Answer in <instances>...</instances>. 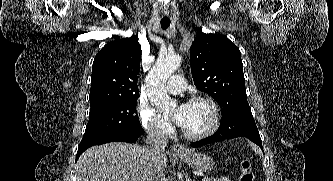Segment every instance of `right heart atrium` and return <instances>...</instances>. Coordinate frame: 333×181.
Here are the masks:
<instances>
[{"label":"right heart atrium","instance_id":"obj_1","mask_svg":"<svg viewBox=\"0 0 333 181\" xmlns=\"http://www.w3.org/2000/svg\"><path fill=\"white\" fill-rule=\"evenodd\" d=\"M137 113L143 128L154 137H166L171 133L170 126L156 114L155 110L145 103H139Z\"/></svg>","mask_w":333,"mask_h":181}]
</instances>
